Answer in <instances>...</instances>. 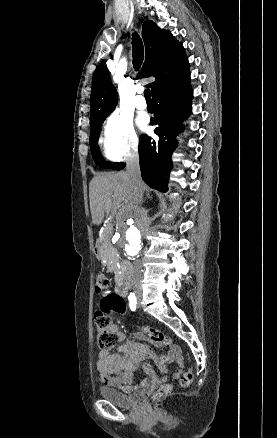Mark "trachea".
I'll list each match as a JSON object with an SVG mask.
<instances>
[{"label": "trachea", "mask_w": 277, "mask_h": 438, "mask_svg": "<svg viewBox=\"0 0 277 438\" xmlns=\"http://www.w3.org/2000/svg\"><path fill=\"white\" fill-rule=\"evenodd\" d=\"M132 53H133V67L135 70H139L144 57L143 43L137 32L132 34ZM144 96L146 100H151V94L149 88L144 91Z\"/></svg>", "instance_id": "1"}]
</instances>
